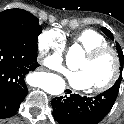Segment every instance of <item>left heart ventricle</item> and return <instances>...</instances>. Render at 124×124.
Returning <instances> with one entry per match:
<instances>
[{
  "label": "left heart ventricle",
  "instance_id": "1",
  "mask_svg": "<svg viewBox=\"0 0 124 124\" xmlns=\"http://www.w3.org/2000/svg\"><path fill=\"white\" fill-rule=\"evenodd\" d=\"M76 69L87 73L91 88L104 84L112 75L114 60L110 53H105L96 59L83 57Z\"/></svg>",
  "mask_w": 124,
  "mask_h": 124
}]
</instances>
